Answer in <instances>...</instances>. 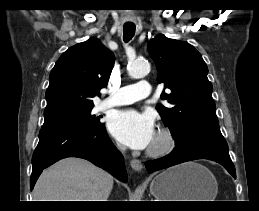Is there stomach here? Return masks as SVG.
Here are the masks:
<instances>
[{
  "label": "stomach",
  "mask_w": 259,
  "mask_h": 211,
  "mask_svg": "<svg viewBox=\"0 0 259 211\" xmlns=\"http://www.w3.org/2000/svg\"><path fill=\"white\" fill-rule=\"evenodd\" d=\"M217 191L214 175L195 162L168 168L150 184V192L158 201H214Z\"/></svg>",
  "instance_id": "obj_1"
}]
</instances>
